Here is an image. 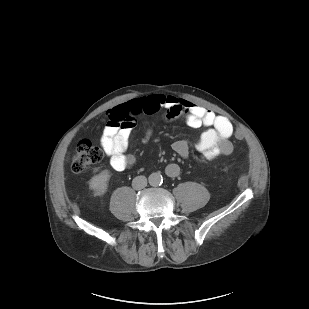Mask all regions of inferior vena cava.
I'll return each mask as SVG.
<instances>
[{
  "instance_id": "602c4592",
  "label": "inferior vena cava",
  "mask_w": 309,
  "mask_h": 309,
  "mask_svg": "<svg viewBox=\"0 0 309 309\" xmlns=\"http://www.w3.org/2000/svg\"><path fill=\"white\" fill-rule=\"evenodd\" d=\"M147 185V178L145 176H137L132 181V187L136 190L142 189Z\"/></svg>"
}]
</instances>
